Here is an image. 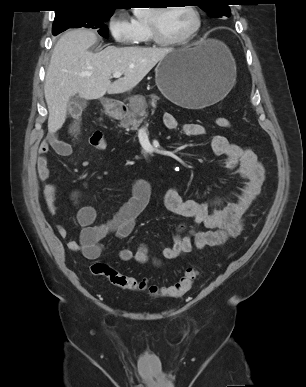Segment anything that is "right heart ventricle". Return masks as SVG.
<instances>
[{"instance_id":"obj_1","label":"right heart ventricle","mask_w":306,"mask_h":387,"mask_svg":"<svg viewBox=\"0 0 306 387\" xmlns=\"http://www.w3.org/2000/svg\"><path fill=\"white\" fill-rule=\"evenodd\" d=\"M132 22L135 26V39L133 42L138 45H148L151 39L146 19L142 17H136Z\"/></svg>"}]
</instances>
